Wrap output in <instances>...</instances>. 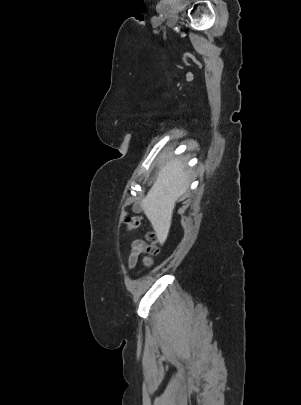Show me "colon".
I'll use <instances>...</instances> for the list:
<instances>
[{"label":"colon","instance_id":"5ec220e1","mask_svg":"<svg viewBox=\"0 0 301 405\" xmlns=\"http://www.w3.org/2000/svg\"><path fill=\"white\" fill-rule=\"evenodd\" d=\"M125 223H126V227L128 230H134L140 226L141 218H140V216H136V215L128 216L125 219ZM147 238H148L150 244L146 246L145 251H146L147 256H146L144 262L147 266H149L152 263V257L155 254H157V252H158V248L156 246L157 235L154 232H149L147 235Z\"/></svg>","mask_w":301,"mask_h":405}]
</instances>
